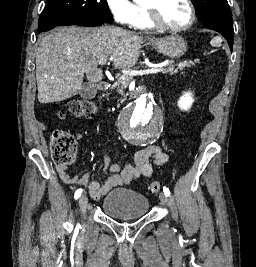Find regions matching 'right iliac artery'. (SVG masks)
<instances>
[{"label": "right iliac artery", "instance_id": "right-iliac-artery-1", "mask_svg": "<svg viewBox=\"0 0 256 267\" xmlns=\"http://www.w3.org/2000/svg\"><path fill=\"white\" fill-rule=\"evenodd\" d=\"M82 194V189H78L76 192H75V195H74V198L75 199H78Z\"/></svg>", "mask_w": 256, "mask_h": 267}]
</instances>
